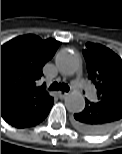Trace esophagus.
<instances>
[{"mask_svg": "<svg viewBox=\"0 0 122 154\" xmlns=\"http://www.w3.org/2000/svg\"><path fill=\"white\" fill-rule=\"evenodd\" d=\"M68 95V93L67 92H64V91H59L58 92V96H59V98H64V97H66Z\"/></svg>", "mask_w": 122, "mask_h": 154, "instance_id": "esophagus-1", "label": "esophagus"}]
</instances>
